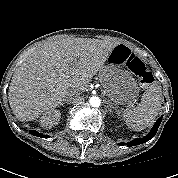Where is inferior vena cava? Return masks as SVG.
I'll return each mask as SVG.
<instances>
[{"label":"inferior vena cava","instance_id":"obj_1","mask_svg":"<svg viewBox=\"0 0 178 178\" xmlns=\"http://www.w3.org/2000/svg\"><path fill=\"white\" fill-rule=\"evenodd\" d=\"M80 93H81V92H80L79 90L73 89V90L71 91V93H70V97L75 96V95H79Z\"/></svg>","mask_w":178,"mask_h":178}]
</instances>
